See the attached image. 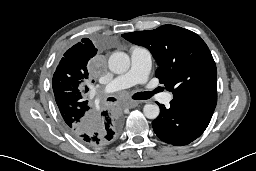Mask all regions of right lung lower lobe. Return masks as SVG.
<instances>
[{"instance_id":"1","label":"right lung lower lobe","mask_w":256,"mask_h":171,"mask_svg":"<svg viewBox=\"0 0 256 171\" xmlns=\"http://www.w3.org/2000/svg\"><path fill=\"white\" fill-rule=\"evenodd\" d=\"M88 125L72 134L82 143L97 146L105 145L117 135L121 128V116L113 109H90Z\"/></svg>"}]
</instances>
